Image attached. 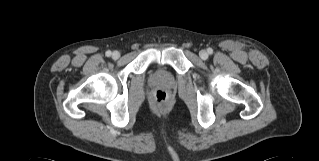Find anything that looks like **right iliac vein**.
Listing matches in <instances>:
<instances>
[{
  "instance_id": "1",
  "label": "right iliac vein",
  "mask_w": 319,
  "mask_h": 161,
  "mask_svg": "<svg viewBox=\"0 0 319 161\" xmlns=\"http://www.w3.org/2000/svg\"><path fill=\"white\" fill-rule=\"evenodd\" d=\"M119 57H120V53H119L118 51H114V52L112 53V58H113L114 60L118 59Z\"/></svg>"
}]
</instances>
